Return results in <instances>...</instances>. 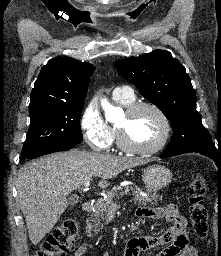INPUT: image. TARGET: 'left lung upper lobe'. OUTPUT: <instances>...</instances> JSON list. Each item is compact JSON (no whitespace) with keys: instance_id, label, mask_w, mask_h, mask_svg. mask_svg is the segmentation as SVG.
I'll return each mask as SVG.
<instances>
[{"instance_id":"1","label":"left lung upper lobe","mask_w":221,"mask_h":256,"mask_svg":"<svg viewBox=\"0 0 221 256\" xmlns=\"http://www.w3.org/2000/svg\"><path fill=\"white\" fill-rule=\"evenodd\" d=\"M115 67L170 120L174 134L168 147L211 141L196 111V93L185 67L170 52L155 50L118 60Z\"/></svg>"}]
</instances>
